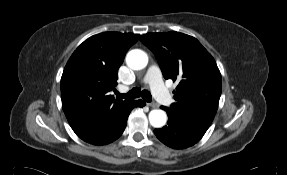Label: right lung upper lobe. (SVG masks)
Segmentation results:
<instances>
[{"label":"right lung upper lobe","instance_id":"cb5924a9","mask_svg":"<svg viewBox=\"0 0 287 175\" xmlns=\"http://www.w3.org/2000/svg\"><path fill=\"white\" fill-rule=\"evenodd\" d=\"M140 35L105 32L85 40L72 54L61 78L65 116L78 137L89 139L114 123L132 100L115 99L118 69Z\"/></svg>","mask_w":287,"mask_h":175}]
</instances>
